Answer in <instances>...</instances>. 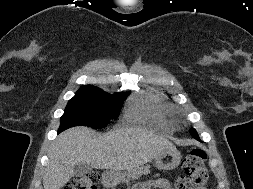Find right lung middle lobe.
I'll use <instances>...</instances> for the list:
<instances>
[{"mask_svg": "<svg viewBox=\"0 0 253 189\" xmlns=\"http://www.w3.org/2000/svg\"><path fill=\"white\" fill-rule=\"evenodd\" d=\"M128 93L110 95L101 92L76 93L69 100L60 119L58 133L77 125L104 128L111 119L119 116Z\"/></svg>", "mask_w": 253, "mask_h": 189, "instance_id": "obj_1", "label": "right lung middle lobe"}]
</instances>
